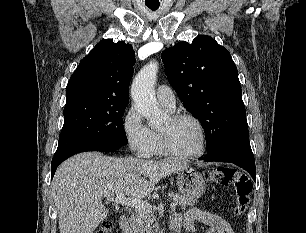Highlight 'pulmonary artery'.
I'll return each instance as SVG.
<instances>
[{
	"label": "pulmonary artery",
	"instance_id": "e3ab8cb5",
	"mask_svg": "<svg viewBox=\"0 0 306 233\" xmlns=\"http://www.w3.org/2000/svg\"><path fill=\"white\" fill-rule=\"evenodd\" d=\"M158 102L169 110H174L176 99L173 90L167 85H161L156 90Z\"/></svg>",
	"mask_w": 306,
	"mask_h": 233
}]
</instances>
